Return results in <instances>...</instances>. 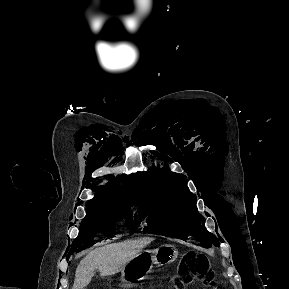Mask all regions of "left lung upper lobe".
I'll return each mask as SVG.
<instances>
[{
  "mask_svg": "<svg viewBox=\"0 0 289 289\" xmlns=\"http://www.w3.org/2000/svg\"><path fill=\"white\" fill-rule=\"evenodd\" d=\"M163 170L154 168L140 175L143 178L138 191V216L147 223L144 231L192 240L205 248L219 246L217 237L204 226L186 177Z\"/></svg>",
  "mask_w": 289,
  "mask_h": 289,
  "instance_id": "1",
  "label": "left lung upper lobe"
}]
</instances>
